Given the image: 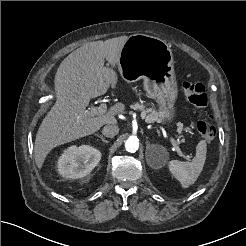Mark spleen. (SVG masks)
<instances>
[{
	"mask_svg": "<svg viewBox=\"0 0 246 246\" xmlns=\"http://www.w3.org/2000/svg\"><path fill=\"white\" fill-rule=\"evenodd\" d=\"M204 140L200 141L196 147V155L190 162L171 160L168 163L169 170L181 183L183 188H188L194 184L203 170L207 147Z\"/></svg>",
	"mask_w": 246,
	"mask_h": 246,
	"instance_id": "obj_1",
	"label": "spleen"
}]
</instances>
